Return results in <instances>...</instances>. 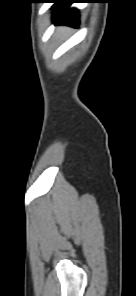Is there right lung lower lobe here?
<instances>
[{
	"instance_id": "1",
	"label": "right lung lower lobe",
	"mask_w": 136,
	"mask_h": 296,
	"mask_svg": "<svg viewBox=\"0 0 136 296\" xmlns=\"http://www.w3.org/2000/svg\"><path fill=\"white\" fill-rule=\"evenodd\" d=\"M81 2V0H54L53 3L55 12L53 20L56 24H67L77 27L79 24L78 10L75 8H69V4Z\"/></svg>"
}]
</instances>
